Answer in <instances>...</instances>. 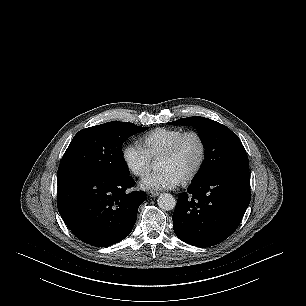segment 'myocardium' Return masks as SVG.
Returning <instances> with one entry per match:
<instances>
[{
	"mask_svg": "<svg viewBox=\"0 0 306 306\" xmlns=\"http://www.w3.org/2000/svg\"><path fill=\"white\" fill-rule=\"evenodd\" d=\"M189 136H194L199 144H200V158H199V161L196 165V167L194 168V170L187 176L183 179V182L184 183H187V182H190L192 180H194L198 175L199 173L201 172L204 164H205V161H206V155H207V146H206V142L203 138V136L197 132V131H194V130H189V131H185L183 132L172 144L171 146L164 152V154L161 156L160 159H167V158H171L173 157L180 145L182 144V142Z\"/></svg>",
	"mask_w": 306,
	"mask_h": 306,
	"instance_id": "f54148a6",
	"label": "myocardium"
}]
</instances>
